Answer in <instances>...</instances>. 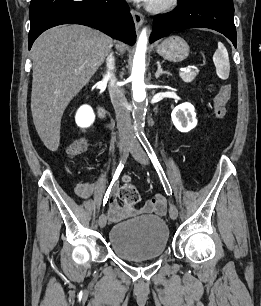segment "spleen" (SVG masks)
Masks as SVG:
<instances>
[{
  "label": "spleen",
  "instance_id": "1",
  "mask_svg": "<svg viewBox=\"0 0 261 306\" xmlns=\"http://www.w3.org/2000/svg\"><path fill=\"white\" fill-rule=\"evenodd\" d=\"M213 62L216 66V73L222 80H226L230 73V63L228 52L221 42H218V48L213 55Z\"/></svg>",
  "mask_w": 261,
  "mask_h": 306
}]
</instances>
